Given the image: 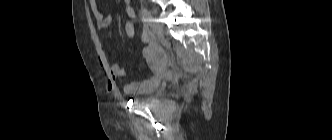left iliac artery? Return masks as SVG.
Wrapping results in <instances>:
<instances>
[{
	"mask_svg": "<svg viewBox=\"0 0 332 140\" xmlns=\"http://www.w3.org/2000/svg\"><path fill=\"white\" fill-rule=\"evenodd\" d=\"M141 15L143 22H151V18L149 16V12L146 8L141 9Z\"/></svg>",
	"mask_w": 332,
	"mask_h": 140,
	"instance_id": "obj_1",
	"label": "left iliac artery"
}]
</instances>
